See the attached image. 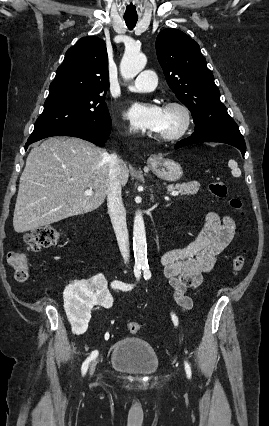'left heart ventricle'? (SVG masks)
I'll return each instance as SVG.
<instances>
[{"mask_svg":"<svg viewBox=\"0 0 269 426\" xmlns=\"http://www.w3.org/2000/svg\"><path fill=\"white\" fill-rule=\"evenodd\" d=\"M181 121L182 118L179 112L164 109L162 122L155 132L157 134H168L174 132L179 128Z\"/></svg>","mask_w":269,"mask_h":426,"instance_id":"b2bd125f","label":"left heart ventricle"}]
</instances>
